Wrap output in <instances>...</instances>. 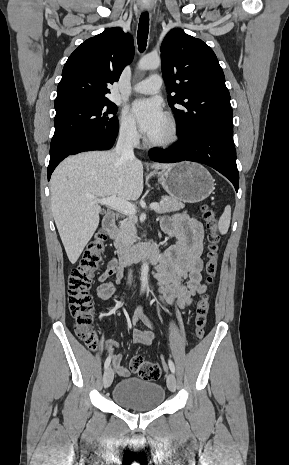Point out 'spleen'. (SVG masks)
I'll return each mask as SVG.
<instances>
[{
    "label": "spleen",
    "mask_w": 289,
    "mask_h": 465,
    "mask_svg": "<svg viewBox=\"0 0 289 465\" xmlns=\"http://www.w3.org/2000/svg\"><path fill=\"white\" fill-rule=\"evenodd\" d=\"M231 220V207L227 205L218 222V229L221 234L228 232Z\"/></svg>",
    "instance_id": "obj_1"
}]
</instances>
